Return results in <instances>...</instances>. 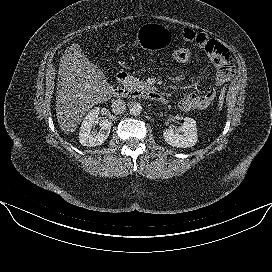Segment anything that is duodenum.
Returning a JSON list of instances; mask_svg holds the SVG:
<instances>
[{"instance_id":"duodenum-1","label":"duodenum","mask_w":272,"mask_h":272,"mask_svg":"<svg viewBox=\"0 0 272 272\" xmlns=\"http://www.w3.org/2000/svg\"><path fill=\"white\" fill-rule=\"evenodd\" d=\"M129 78V75L126 72H119L117 74V85L113 88V93L116 96H128L136 94L142 98L149 99L158 103L166 104L168 102L167 98L160 92L154 90L151 87H146L140 90L137 93L128 92L123 88V83Z\"/></svg>"}]
</instances>
